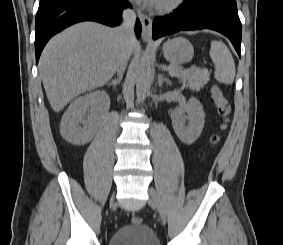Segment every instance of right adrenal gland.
<instances>
[{"label":"right adrenal gland","instance_id":"obj_1","mask_svg":"<svg viewBox=\"0 0 283 245\" xmlns=\"http://www.w3.org/2000/svg\"><path fill=\"white\" fill-rule=\"evenodd\" d=\"M121 79H122V76L119 75L116 79L111 80L110 82H108V86H109V87H110V86H113L114 88H116V86L120 84Z\"/></svg>","mask_w":283,"mask_h":245}]
</instances>
